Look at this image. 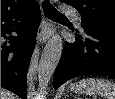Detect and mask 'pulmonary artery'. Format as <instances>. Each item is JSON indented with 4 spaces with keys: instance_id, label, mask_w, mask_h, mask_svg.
Instances as JSON below:
<instances>
[{
    "instance_id": "1",
    "label": "pulmonary artery",
    "mask_w": 115,
    "mask_h": 99,
    "mask_svg": "<svg viewBox=\"0 0 115 99\" xmlns=\"http://www.w3.org/2000/svg\"><path fill=\"white\" fill-rule=\"evenodd\" d=\"M62 12L70 15L77 23L81 22V16L79 15V13L71 8L68 7H63L62 8Z\"/></svg>"
}]
</instances>
